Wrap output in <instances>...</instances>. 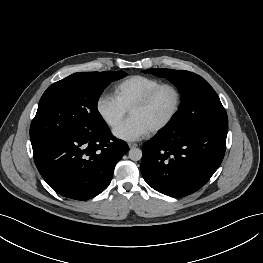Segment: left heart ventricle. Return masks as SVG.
Here are the masks:
<instances>
[{
  "label": "left heart ventricle",
  "instance_id": "b2bd125f",
  "mask_svg": "<svg viewBox=\"0 0 263 263\" xmlns=\"http://www.w3.org/2000/svg\"><path fill=\"white\" fill-rule=\"evenodd\" d=\"M174 105V92L169 88H164L146 107L132 110L129 114L130 117L141 120L151 130L168 117Z\"/></svg>",
  "mask_w": 263,
  "mask_h": 263
}]
</instances>
